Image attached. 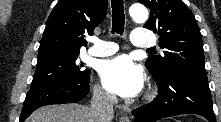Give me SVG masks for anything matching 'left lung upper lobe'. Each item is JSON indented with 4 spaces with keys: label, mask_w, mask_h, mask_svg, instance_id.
I'll use <instances>...</instances> for the list:
<instances>
[{
    "label": "left lung upper lobe",
    "mask_w": 221,
    "mask_h": 122,
    "mask_svg": "<svg viewBox=\"0 0 221 122\" xmlns=\"http://www.w3.org/2000/svg\"><path fill=\"white\" fill-rule=\"evenodd\" d=\"M151 10L144 27L158 32L164 56H152L146 66L153 77L163 79L182 68L205 71L204 51L196 19L182 0H138Z\"/></svg>",
    "instance_id": "obj_1"
}]
</instances>
